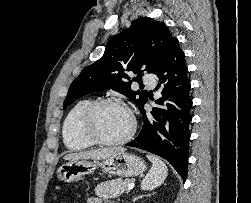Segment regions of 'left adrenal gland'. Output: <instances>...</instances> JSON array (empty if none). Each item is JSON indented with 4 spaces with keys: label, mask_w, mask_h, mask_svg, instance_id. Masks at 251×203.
<instances>
[{
    "label": "left adrenal gland",
    "mask_w": 251,
    "mask_h": 203,
    "mask_svg": "<svg viewBox=\"0 0 251 203\" xmlns=\"http://www.w3.org/2000/svg\"><path fill=\"white\" fill-rule=\"evenodd\" d=\"M139 198H142V196L136 197V198H134L132 201L135 202V201L138 200Z\"/></svg>",
    "instance_id": "a2214340"
}]
</instances>
